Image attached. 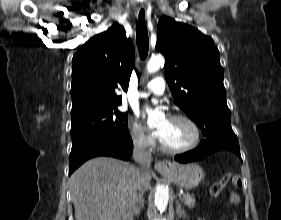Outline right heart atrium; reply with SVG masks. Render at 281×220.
<instances>
[{"label":"right heart atrium","mask_w":281,"mask_h":220,"mask_svg":"<svg viewBox=\"0 0 281 220\" xmlns=\"http://www.w3.org/2000/svg\"><path fill=\"white\" fill-rule=\"evenodd\" d=\"M130 137L133 145L141 150H149L154 146V140L149 136L142 125L133 120L130 125Z\"/></svg>","instance_id":"right-heart-atrium-1"}]
</instances>
